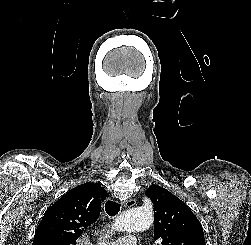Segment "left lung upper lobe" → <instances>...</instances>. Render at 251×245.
Wrapping results in <instances>:
<instances>
[{"instance_id": "left-lung-upper-lobe-1", "label": "left lung upper lobe", "mask_w": 251, "mask_h": 245, "mask_svg": "<svg viewBox=\"0 0 251 245\" xmlns=\"http://www.w3.org/2000/svg\"><path fill=\"white\" fill-rule=\"evenodd\" d=\"M146 196L154 204V240L161 245H205L202 225L178 197L158 185L150 186Z\"/></svg>"}]
</instances>
